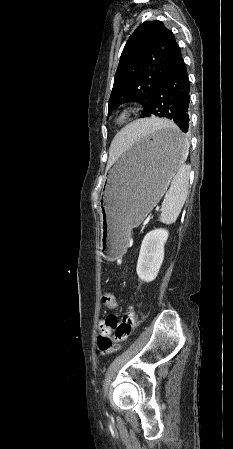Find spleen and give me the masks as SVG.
<instances>
[{"label": "spleen", "instance_id": "1", "mask_svg": "<svg viewBox=\"0 0 233 449\" xmlns=\"http://www.w3.org/2000/svg\"><path fill=\"white\" fill-rule=\"evenodd\" d=\"M163 127H176L171 125H162ZM155 133V131H154ZM148 138V134H147ZM186 149L184 159L187 157L189 142L185 139ZM189 187V168L183 162L178 167L175 176L171 182L169 190L166 192L163 203L160 221L164 224H172L178 218L181 209L185 203Z\"/></svg>", "mask_w": 233, "mask_h": 449}]
</instances>
